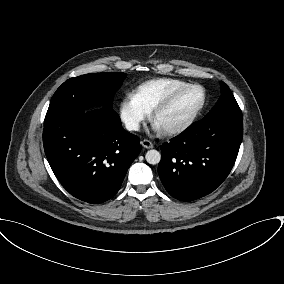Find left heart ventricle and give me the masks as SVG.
I'll return each mask as SVG.
<instances>
[{
  "instance_id": "left-heart-ventricle-1",
  "label": "left heart ventricle",
  "mask_w": 284,
  "mask_h": 284,
  "mask_svg": "<svg viewBox=\"0 0 284 284\" xmlns=\"http://www.w3.org/2000/svg\"><path fill=\"white\" fill-rule=\"evenodd\" d=\"M202 101V91L198 88H191L185 91L174 104L161 113L155 120V125L166 128L178 124L188 118Z\"/></svg>"
}]
</instances>
